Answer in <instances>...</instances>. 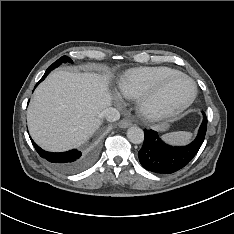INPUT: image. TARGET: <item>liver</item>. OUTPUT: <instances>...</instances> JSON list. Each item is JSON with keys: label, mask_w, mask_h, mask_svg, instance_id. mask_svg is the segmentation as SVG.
I'll use <instances>...</instances> for the list:
<instances>
[{"label": "liver", "mask_w": 234, "mask_h": 234, "mask_svg": "<svg viewBox=\"0 0 234 234\" xmlns=\"http://www.w3.org/2000/svg\"><path fill=\"white\" fill-rule=\"evenodd\" d=\"M110 74L51 73L35 90L27 110L29 132L47 151H65L84 143L101 125L111 104Z\"/></svg>", "instance_id": "1"}]
</instances>
